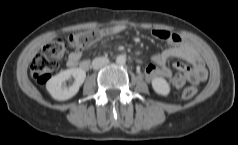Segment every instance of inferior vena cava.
Instances as JSON below:
<instances>
[{"label": "inferior vena cava", "mask_w": 238, "mask_h": 145, "mask_svg": "<svg viewBox=\"0 0 238 145\" xmlns=\"http://www.w3.org/2000/svg\"><path fill=\"white\" fill-rule=\"evenodd\" d=\"M109 63V59L107 57H96L92 61V67L95 70H98L104 66H106Z\"/></svg>", "instance_id": "1"}]
</instances>
